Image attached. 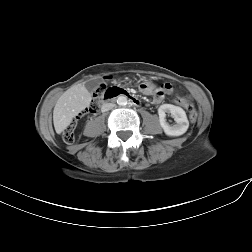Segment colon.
I'll return each mask as SVG.
<instances>
[{
  "label": "colon",
  "instance_id": "1",
  "mask_svg": "<svg viewBox=\"0 0 252 252\" xmlns=\"http://www.w3.org/2000/svg\"><path fill=\"white\" fill-rule=\"evenodd\" d=\"M142 86L145 87H150L151 83L149 81H146L144 83L141 84ZM121 88L116 87V86H109L107 84H103L101 85L95 94V99L92 102L90 108L84 113L87 114L89 112H95L98 107H99V100L101 98H105L109 95H112L114 93H116L118 90H120ZM180 101V100H179ZM181 102L184 104L185 108L187 109V111L189 112V120L190 122L194 123L196 122L197 118H198V114L197 111L192 103V101L189 98H184L181 100ZM75 122H72L63 132V140L66 143H72L74 141V129H75Z\"/></svg>",
  "mask_w": 252,
  "mask_h": 252
}]
</instances>
